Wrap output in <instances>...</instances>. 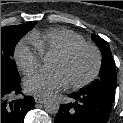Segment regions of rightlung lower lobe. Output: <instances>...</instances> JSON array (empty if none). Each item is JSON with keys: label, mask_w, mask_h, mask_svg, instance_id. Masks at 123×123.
I'll return each instance as SVG.
<instances>
[{"label": "right lung lower lobe", "mask_w": 123, "mask_h": 123, "mask_svg": "<svg viewBox=\"0 0 123 123\" xmlns=\"http://www.w3.org/2000/svg\"><path fill=\"white\" fill-rule=\"evenodd\" d=\"M20 92V81L13 82L1 78V123H24V117L35 105V101L30 96H25L16 101H8L11 95H17Z\"/></svg>", "instance_id": "1"}]
</instances>
